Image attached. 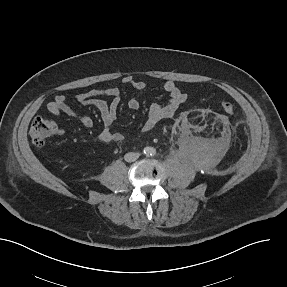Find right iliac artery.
<instances>
[{
	"label": "right iliac artery",
	"instance_id": "right-iliac-artery-1",
	"mask_svg": "<svg viewBox=\"0 0 287 287\" xmlns=\"http://www.w3.org/2000/svg\"><path fill=\"white\" fill-rule=\"evenodd\" d=\"M143 153L146 154V155L150 154V149L149 148H145L143 150Z\"/></svg>",
	"mask_w": 287,
	"mask_h": 287
}]
</instances>
